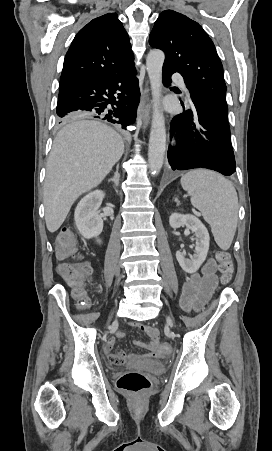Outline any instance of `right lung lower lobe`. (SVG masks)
Returning a JSON list of instances; mask_svg holds the SVG:
<instances>
[{"instance_id":"right-lung-lower-lobe-1","label":"right lung lower lobe","mask_w":272,"mask_h":451,"mask_svg":"<svg viewBox=\"0 0 272 451\" xmlns=\"http://www.w3.org/2000/svg\"><path fill=\"white\" fill-rule=\"evenodd\" d=\"M135 75L133 61L106 77L60 89L56 109L58 123L96 118L127 130L135 121L140 97ZM109 104L113 110L106 114Z\"/></svg>"}]
</instances>
